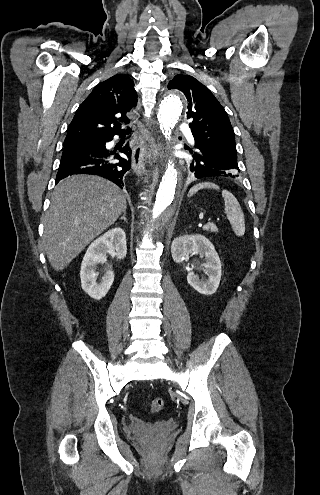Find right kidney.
<instances>
[{
    "label": "right kidney",
    "mask_w": 320,
    "mask_h": 495,
    "mask_svg": "<svg viewBox=\"0 0 320 495\" xmlns=\"http://www.w3.org/2000/svg\"><path fill=\"white\" fill-rule=\"evenodd\" d=\"M127 253L126 235L123 229L117 227L104 233L88 247L80 270L82 289L93 299L103 298L110 290L114 281V272L106 270L100 282H97L96 268L105 263L106 255H115L117 259H124Z\"/></svg>",
    "instance_id": "right-kidney-1"
}]
</instances>
